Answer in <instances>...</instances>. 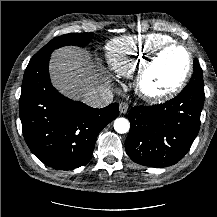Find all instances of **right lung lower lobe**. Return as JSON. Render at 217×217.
Returning <instances> with one entry per match:
<instances>
[{
	"instance_id": "right-lung-lower-lobe-1",
	"label": "right lung lower lobe",
	"mask_w": 217,
	"mask_h": 217,
	"mask_svg": "<svg viewBox=\"0 0 217 217\" xmlns=\"http://www.w3.org/2000/svg\"><path fill=\"white\" fill-rule=\"evenodd\" d=\"M50 56L29 63L19 99L24 139L45 165L71 170L92 156L99 132L118 117L119 105L94 109L61 95L51 84Z\"/></svg>"
}]
</instances>
